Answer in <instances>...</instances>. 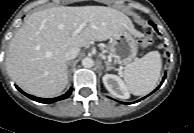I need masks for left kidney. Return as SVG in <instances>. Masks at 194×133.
Returning a JSON list of instances; mask_svg holds the SVG:
<instances>
[{"mask_svg":"<svg viewBox=\"0 0 194 133\" xmlns=\"http://www.w3.org/2000/svg\"><path fill=\"white\" fill-rule=\"evenodd\" d=\"M102 79L105 87L113 96L121 99L129 98L128 89L119 76L114 74H105Z\"/></svg>","mask_w":194,"mask_h":133,"instance_id":"5707ae66","label":"left kidney"}]
</instances>
